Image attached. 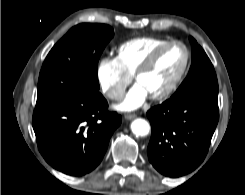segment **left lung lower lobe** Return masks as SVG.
<instances>
[{
  "label": "left lung lower lobe",
  "instance_id": "1",
  "mask_svg": "<svg viewBox=\"0 0 245 195\" xmlns=\"http://www.w3.org/2000/svg\"><path fill=\"white\" fill-rule=\"evenodd\" d=\"M152 135L147 148L161 174L179 177L204 160L219 119L218 103L169 99L147 112Z\"/></svg>",
  "mask_w": 245,
  "mask_h": 195
}]
</instances>
